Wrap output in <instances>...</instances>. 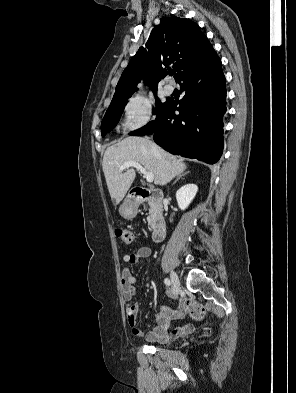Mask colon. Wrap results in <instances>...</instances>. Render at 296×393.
Instances as JSON below:
<instances>
[{
  "label": "colon",
  "instance_id": "obj_1",
  "mask_svg": "<svg viewBox=\"0 0 296 393\" xmlns=\"http://www.w3.org/2000/svg\"><path fill=\"white\" fill-rule=\"evenodd\" d=\"M115 234L126 245H129L133 242V233L128 229L116 228ZM185 306L192 317L200 319L204 316L203 307L196 301L186 300Z\"/></svg>",
  "mask_w": 296,
  "mask_h": 393
}]
</instances>
